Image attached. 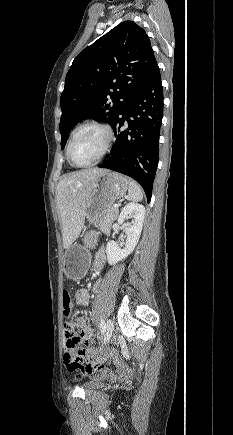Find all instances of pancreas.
I'll list each match as a JSON object with an SVG mask.
<instances>
[{"label": "pancreas", "mask_w": 233, "mask_h": 435, "mask_svg": "<svg viewBox=\"0 0 233 435\" xmlns=\"http://www.w3.org/2000/svg\"><path fill=\"white\" fill-rule=\"evenodd\" d=\"M117 215L118 209L113 206H108L105 210L103 219L96 224V227H98L103 233L108 232L111 223L117 218Z\"/></svg>", "instance_id": "cf45deb5"}]
</instances>
